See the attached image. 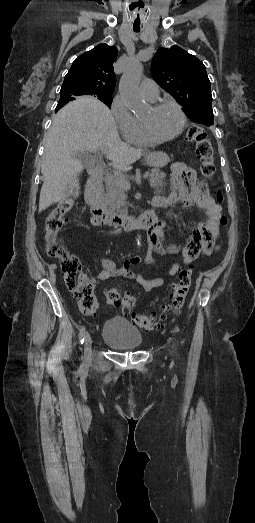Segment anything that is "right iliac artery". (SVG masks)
I'll use <instances>...</instances> for the list:
<instances>
[{
	"mask_svg": "<svg viewBox=\"0 0 255 523\" xmlns=\"http://www.w3.org/2000/svg\"><path fill=\"white\" fill-rule=\"evenodd\" d=\"M84 338H85V328L82 327V328L80 329V333H79V342H80L81 344H83V342H84Z\"/></svg>",
	"mask_w": 255,
	"mask_h": 523,
	"instance_id": "82829eb1",
	"label": "right iliac artery"
}]
</instances>
